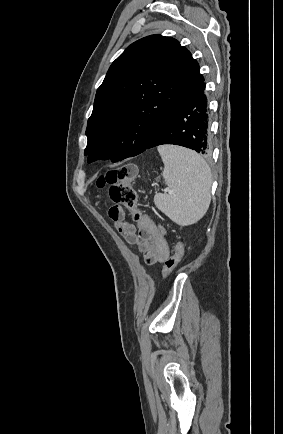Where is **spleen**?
<instances>
[{"instance_id":"1","label":"spleen","mask_w":283,"mask_h":434,"mask_svg":"<svg viewBox=\"0 0 283 434\" xmlns=\"http://www.w3.org/2000/svg\"><path fill=\"white\" fill-rule=\"evenodd\" d=\"M164 163L163 178L169 194H156L157 208L172 221L187 226L198 222L211 201L212 173L196 152L177 146L158 147Z\"/></svg>"}]
</instances>
